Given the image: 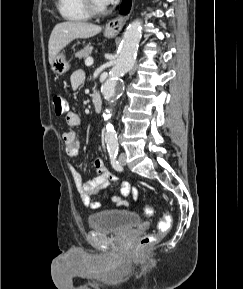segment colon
Returning a JSON list of instances; mask_svg holds the SVG:
<instances>
[{
  "label": "colon",
  "instance_id": "colon-1",
  "mask_svg": "<svg viewBox=\"0 0 243 289\" xmlns=\"http://www.w3.org/2000/svg\"><path fill=\"white\" fill-rule=\"evenodd\" d=\"M53 106H54V110L57 116H61L65 113L66 111V100L65 98L60 95L57 94L53 97ZM144 213L147 216L152 215L153 213V209L150 206H146L144 208ZM171 224H172V217L170 214H165L159 224H158V233H154V234H147L145 236H143L141 238L140 241V246L142 248L150 246L152 244H154L155 242H157L160 238V236L166 234L170 228H171Z\"/></svg>",
  "mask_w": 243,
  "mask_h": 289
}]
</instances>
